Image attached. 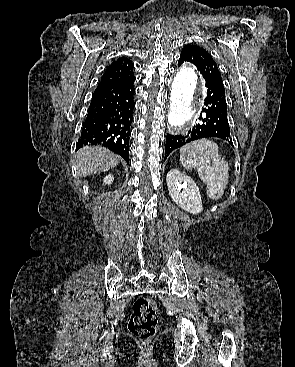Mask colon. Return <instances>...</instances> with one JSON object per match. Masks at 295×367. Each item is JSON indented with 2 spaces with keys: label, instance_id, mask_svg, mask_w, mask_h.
<instances>
[{
  "label": "colon",
  "instance_id": "colon-1",
  "mask_svg": "<svg viewBox=\"0 0 295 367\" xmlns=\"http://www.w3.org/2000/svg\"><path fill=\"white\" fill-rule=\"evenodd\" d=\"M157 303L148 297L138 298L128 324L129 331L136 337L148 340L156 333L158 322Z\"/></svg>",
  "mask_w": 295,
  "mask_h": 367
}]
</instances>
